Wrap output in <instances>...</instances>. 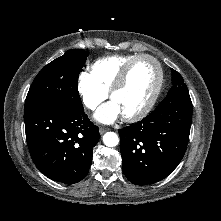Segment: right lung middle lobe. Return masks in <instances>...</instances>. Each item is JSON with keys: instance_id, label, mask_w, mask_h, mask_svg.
<instances>
[{"instance_id": "dd1d6c3e", "label": "right lung middle lobe", "mask_w": 221, "mask_h": 221, "mask_svg": "<svg viewBox=\"0 0 221 221\" xmlns=\"http://www.w3.org/2000/svg\"><path fill=\"white\" fill-rule=\"evenodd\" d=\"M87 56L84 50L72 49L47 64L29 89L24 113L47 105L82 109L77 83Z\"/></svg>"}]
</instances>
